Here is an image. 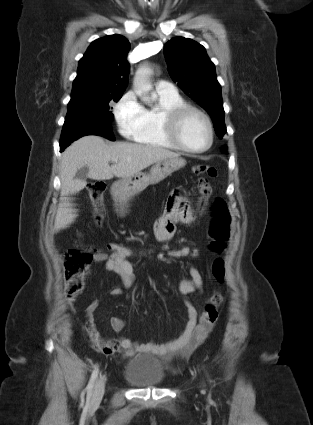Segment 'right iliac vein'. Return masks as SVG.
<instances>
[{"label": "right iliac vein", "instance_id": "obj_1", "mask_svg": "<svg viewBox=\"0 0 313 425\" xmlns=\"http://www.w3.org/2000/svg\"><path fill=\"white\" fill-rule=\"evenodd\" d=\"M104 391H105V377L100 376L95 382L93 395L90 401L91 406H95L101 401L104 395Z\"/></svg>", "mask_w": 313, "mask_h": 425}]
</instances>
